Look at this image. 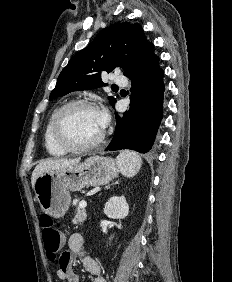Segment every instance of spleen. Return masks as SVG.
<instances>
[{"instance_id": "spleen-1", "label": "spleen", "mask_w": 232, "mask_h": 282, "mask_svg": "<svg viewBox=\"0 0 232 282\" xmlns=\"http://www.w3.org/2000/svg\"><path fill=\"white\" fill-rule=\"evenodd\" d=\"M116 163L124 176L132 177L140 170L142 159L135 152L123 151L117 156Z\"/></svg>"}]
</instances>
